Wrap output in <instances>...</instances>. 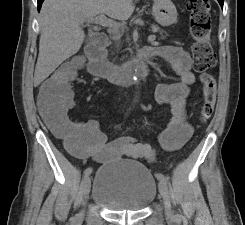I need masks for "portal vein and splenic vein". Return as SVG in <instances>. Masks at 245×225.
I'll list each match as a JSON object with an SVG mask.
<instances>
[{
	"mask_svg": "<svg viewBox=\"0 0 245 225\" xmlns=\"http://www.w3.org/2000/svg\"><path fill=\"white\" fill-rule=\"evenodd\" d=\"M84 22V21H83ZM89 23L99 24L103 27H118L119 24L116 23L114 20L107 18L104 14H100L97 17L87 19ZM150 41H155V35H151L148 38Z\"/></svg>",
	"mask_w": 245,
	"mask_h": 225,
	"instance_id": "1",
	"label": "portal vein and splenic vein"
}]
</instances>
